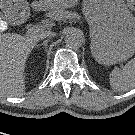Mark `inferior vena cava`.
<instances>
[{
  "instance_id": "602c4592",
  "label": "inferior vena cava",
  "mask_w": 135,
  "mask_h": 135,
  "mask_svg": "<svg viewBox=\"0 0 135 135\" xmlns=\"http://www.w3.org/2000/svg\"><path fill=\"white\" fill-rule=\"evenodd\" d=\"M56 36L55 32H51V31H42L39 35L40 39H44V38H51Z\"/></svg>"
}]
</instances>
